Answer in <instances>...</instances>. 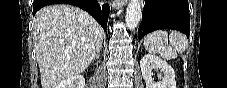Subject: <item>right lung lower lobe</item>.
<instances>
[{"label":"right lung lower lobe","instance_id":"98d812e1","mask_svg":"<svg viewBox=\"0 0 227 88\" xmlns=\"http://www.w3.org/2000/svg\"><path fill=\"white\" fill-rule=\"evenodd\" d=\"M54 3H66L78 6L90 13L104 30L107 29L110 7L108 4H104L101 7L96 0H34L33 15L43 6Z\"/></svg>","mask_w":227,"mask_h":88}]
</instances>
